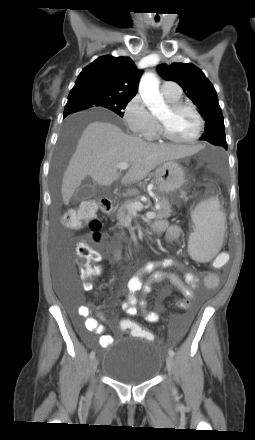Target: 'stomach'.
<instances>
[{"instance_id":"obj_1","label":"stomach","mask_w":255,"mask_h":440,"mask_svg":"<svg viewBox=\"0 0 255 440\" xmlns=\"http://www.w3.org/2000/svg\"><path fill=\"white\" fill-rule=\"evenodd\" d=\"M184 181V169L175 161H166L155 171L154 182L162 194H170L178 190Z\"/></svg>"}]
</instances>
